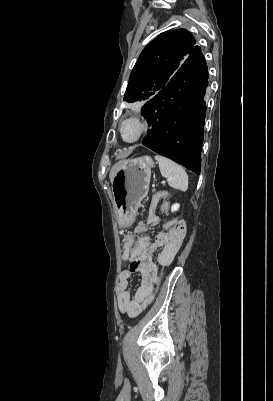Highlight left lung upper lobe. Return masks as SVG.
Wrapping results in <instances>:
<instances>
[{
  "mask_svg": "<svg viewBox=\"0 0 273 401\" xmlns=\"http://www.w3.org/2000/svg\"><path fill=\"white\" fill-rule=\"evenodd\" d=\"M195 43L186 29L159 34L141 52L130 74L124 101L152 99L166 86Z\"/></svg>",
  "mask_w": 273,
  "mask_h": 401,
  "instance_id": "obj_1",
  "label": "left lung upper lobe"
}]
</instances>
